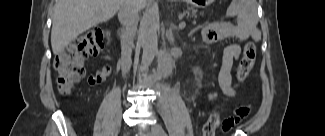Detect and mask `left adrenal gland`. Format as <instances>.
<instances>
[{"label":"left adrenal gland","instance_id":"obj_1","mask_svg":"<svg viewBox=\"0 0 325 136\" xmlns=\"http://www.w3.org/2000/svg\"><path fill=\"white\" fill-rule=\"evenodd\" d=\"M176 28V26L172 23L171 27L169 28L168 32L166 33L167 39L170 44H174V37H173V29Z\"/></svg>","mask_w":325,"mask_h":136}]
</instances>
